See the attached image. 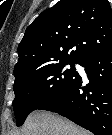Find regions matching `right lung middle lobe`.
Returning a JSON list of instances; mask_svg holds the SVG:
<instances>
[{
  "mask_svg": "<svg viewBox=\"0 0 112 135\" xmlns=\"http://www.w3.org/2000/svg\"><path fill=\"white\" fill-rule=\"evenodd\" d=\"M75 61L52 62L27 76L15 78L13 108L17 126L34 110L71 87L77 77ZM70 64V69H64Z\"/></svg>",
  "mask_w": 112,
  "mask_h": 135,
  "instance_id": "obj_1",
  "label": "right lung middle lobe"
}]
</instances>
